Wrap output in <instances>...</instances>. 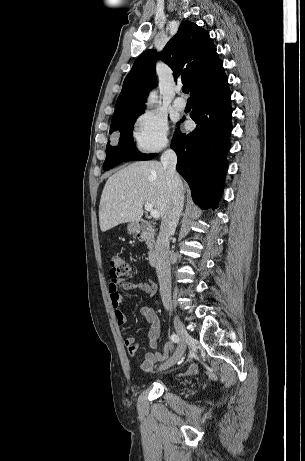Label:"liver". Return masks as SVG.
I'll return each instance as SVG.
<instances>
[{
  "label": "liver",
  "instance_id": "6515ba94",
  "mask_svg": "<svg viewBox=\"0 0 305 461\" xmlns=\"http://www.w3.org/2000/svg\"><path fill=\"white\" fill-rule=\"evenodd\" d=\"M182 188L184 193L183 184ZM169 195L165 170L160 162H135L122 168L110 176L104 186L99 205L101 231L122 223L139 222L147 202L162 218L169 205Z\"/></svg>",
  "mask_w": 305,
  "mask_h": 461
}]
</instances>
